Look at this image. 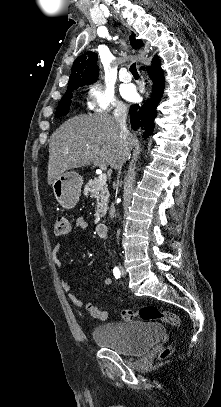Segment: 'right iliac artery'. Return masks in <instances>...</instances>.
<instances>
[{
    "instance_id": "obj_1",
    "label": "right iliac artery",
    "mask_w": 221,
    "mask_h": 407,
    "mask_svg": "<svg viewBox=\"0 0 221 407\" xmlns=\"http://www.w3.org/2000/svg\"><path fill=\"white\" fill-rule=\"evenodd\" d=\"M113 274H114V276H115L116 279L120 278V275H121L120 269H119L118 267H115V268L113 269Z\"/></svg>"
}]
</instances>
